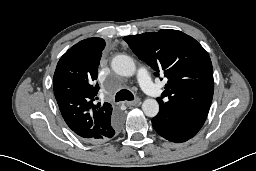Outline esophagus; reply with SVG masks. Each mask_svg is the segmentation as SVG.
<instances>
[{
  "label": "esophagus",
  "instance_id": "34e87169",
  "mask_svg": "<svg viewBox=\"0 0 256 171\" xmlns=\"http://www.w3.org/2000/svg\"><path fill=\"white\" fill-rule=\"evenodd\" d=\"M140 103V99L136 98L134 101H126L125 104L129 107L135 106Z\"/></svg>",
  "mask_w": 256,
  "mask_h": 171
}]
</instances>
